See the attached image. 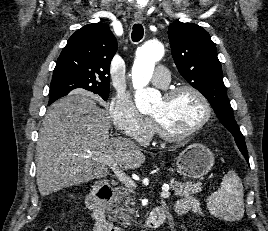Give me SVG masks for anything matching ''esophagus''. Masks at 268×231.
I'll list each match as a JSON object with an SVG mask.
<instances>
[{
  "instance_id": "esophagus-1",
  "label": "esophagus",
  "mask_w": 268,
  "mask_h": 231,
  "mask_svg": "<svg viewBox=\"0 0 268 231\" xmlns=\"http://www.w3.org/2000/svg\"><path fill=\"white\" fill-rule=\"evenodd\" d=\"M136 22H142L144 20V16L142 14L135 15Z\"/></svg>"
}]
</instances>
